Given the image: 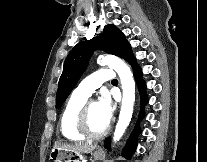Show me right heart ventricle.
<instances>
[{
  "instance_id": "1",
  "label": "right heart ventricle",
  "mask_w": 207,
  "mask_h": 162,
  "mask_svg": "<svg viewBox=\"0 0 207 162\" xmlns=\"http://www.w3.org/2000/svg\"><path fill=\"white\" fill-rule=\"evenodd\" d=\"M87 99L88 97L74 91L67 100L59 120V130L64 138L72 141L85 139L76 129V117Z\"/></svg>"
}]
</instances>
